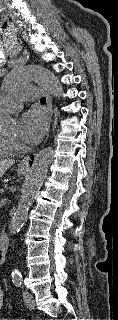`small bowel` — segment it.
<instances>
[{"label":"small bowel","instance_id":"small-bowel-1","mask_svg":"<svg viewBox=\"0 0 118 320\" xmlns=\"http://www.w3.org/2000/svg\"><path fill=\"white\" fill-rule=\"evenodd\" d=\"M3 305H4V294H3L2 287L0 285V311L3 309Z\"/></svg>","mask_w":118,"mask_h":320}]
</instances>
